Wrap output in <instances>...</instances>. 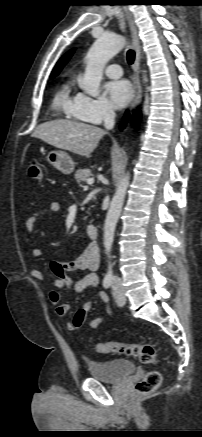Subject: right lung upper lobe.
Returning <instances> with one entry per match:
<instances>
[{"instance_id": "right-lung-upper-lobe-1", "label": "right lung upper lobe", "mask_w": 202, "mask_h": 437, "mask_svg": "<svg viewBox=\"0 0 202 437\" xmlns=\"http://www.w3.org/2000/svg\"><path fill=\"white\" fill-rule=\"evenodd\" d=\"M74 50L75 49L70 50L69 52H67L65 55H63L61 57V59L57 62L55 68L53 69V71L51 73V78H54L55 76H57L59 74L61 69L65 66V64L68 62V60L72 56Z\"/></svg>"}]
</instances>
